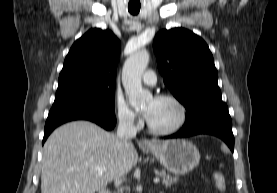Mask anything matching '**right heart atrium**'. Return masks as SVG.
Here are the masks:
<instances>
[{
    "mask_svg": "<svg viewBox=\"0 0 277 193\" xmlns=\"http://www.w3.org/2000/svg\"><path fill=\"white\" fill-rule=\"evenodd\" d=\"M115 110L117 119L120 124L132 127L140 123V118L137 112L134 111L121 96L116 97Z\"/></svg>",
    "mask_w": 277,
    "mask_h": 193,
    "instance_id": "1",
    "label": "right heart atrium"
}]
</instances>
